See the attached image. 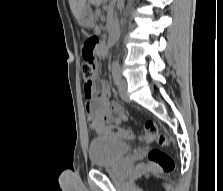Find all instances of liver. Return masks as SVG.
<instances>
[{
	"label": "liver",
	"mask_w": 223,
	"mask_h": 191,
	"mask_svg": "<svg viewBox=\"0 0 223 191\" xmlns=\"http://www.w3.org/2000/svg\"><path fill=\"white\" fill-rule=\"evenodd\" d=\"M87 0H69L70 9L74 17L78 20Z\"/></svg>",
	"instance_id": "1"
}]
</instances>
